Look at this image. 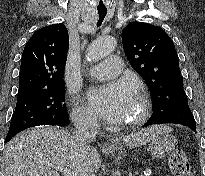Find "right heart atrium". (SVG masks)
Returning a JSON list of instances; mask_svg holds the SVG:
<instances>
[{
  "label": "right heart atrium",
  "instance_id": "right-heart-atrium-1",
  "mask_svg": "<svg viewBox=\"0 0 205 176\" xmlns=\"http://www.w3.org/2000/svg\"><path fill=\"white\" fill-rule=\"evenodd\" d=\"M74 121L82 127L94 128L97 125V118L87 107L76 104L72 111Z\"/></svg>",
  "mask_w": 205,
  "mask_h": 176
}]
</instances>
